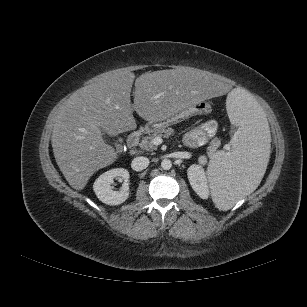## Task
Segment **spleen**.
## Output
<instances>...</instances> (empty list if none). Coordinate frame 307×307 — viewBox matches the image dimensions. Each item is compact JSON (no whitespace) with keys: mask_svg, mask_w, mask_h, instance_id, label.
<instances>
[{"mask_svg":"<svg viewBox=\"0 0 307 307\" xmlns=\"http://www.w3.org/2000/svg\"><path fill=\"white\" fill-rule=\"evenodd\" d=\"M226 109L230 121L239 127L232 139L233 149L214 157L207 170L212 200L222 211L255 190L265 172L273 141L266 116L251 95L230 92Z\"/></svg>","mask_w":307,"mask_h":307,"instance_id":"obj_1","label":"spleen"}]
</instances>
